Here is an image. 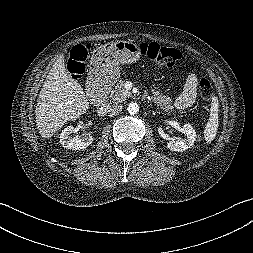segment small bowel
Wrapping results in <instances>:
<instances>
[{
	"mask_svg": "<svg viewBox=\"0 0 253 253\" xmlns=\"http://www.w3.org/2000/svg\"><path fill=\"white\" fill-rule=\"evenodd\" d=\"M197 85L198 80L195 75H189L182 94L177 98L175 102V106L178 109L190 107L195 102V98L197 96Z\"/></svg>",
	"mask_w": 253,
	"mask_h": 253,
	"instance_id": "small-bowel-1",
	"label": "small bowel"
}]
</instances>
